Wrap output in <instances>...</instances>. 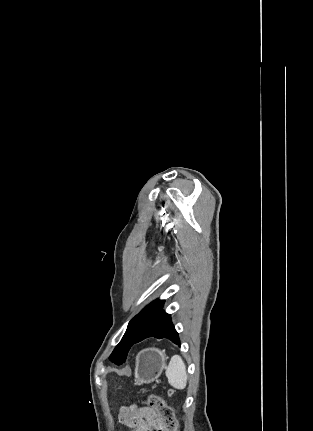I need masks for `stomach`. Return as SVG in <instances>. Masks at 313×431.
<instances>
[{
  "instance_id": "1",
  "label": "stomach",
  "mask_w": 313,
  "mask_h": 431,
  "mask_svg": "<svg viewBox=\"0 0 313 431\" xmlns=\"http://www.w3.org/2000/svg\"><path fill=\"white\" fill-rule=\"evenodd\" d=\"M166 359L165 353L156 348L141 351L136 358V384H149L156 380L166 367Z\"/></svg>"
}]
</instances>
